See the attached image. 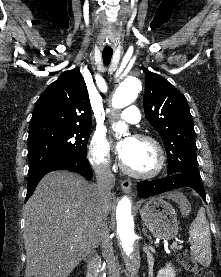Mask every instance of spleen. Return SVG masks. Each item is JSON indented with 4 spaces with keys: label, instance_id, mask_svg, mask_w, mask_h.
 I'll list each match as a JSON object with an SVG mask.
<instances>
[{
    "label": "spleen",
    "instance_id": "obj_1",
    "mask_svg": "<svg viewBox=\"0 0 221 277\" xmlns=\"http://www.w3.org/2000/svg\"><path fill=\"white\" fill-rule=\"evenodd\" d=\"M192 238L191 255L203 266L211 262V238L209 224L203 211H199L197 218L189 229Z\"/></svg>",
    "mask_w": 221,
    "mask_h": 277
}]
</instances>
